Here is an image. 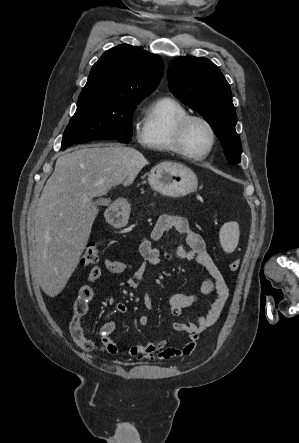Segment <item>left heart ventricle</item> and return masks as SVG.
<instances>
[{
    "label": "left heart ventricle",
    "mask_w": 299,
    "mask_h": 443,
    "mask_svg": "<svg viewBox=\"0 0 299 443\" xmlns=\"http://www.w3.org/2000/svg\"><path fill=\"white\" fill-rule=\"evenodd\" d=\"M210 142L211 136L206 125L198 120L191 121L184 136L187 151L192 154H201L208 149Z\"/></svg>",
    "instance_id": "obj_1"
}]
</instances>
